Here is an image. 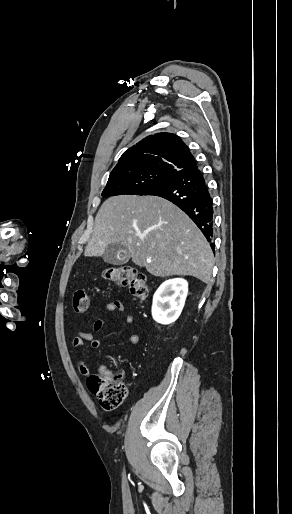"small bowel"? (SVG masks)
Masks as SVG:
<instances>
[{
	"label": "small bowel",
	"mask_w": 292,
	"mask_h": 514,
	"mask_svg": "<svg viewBox=\"0 0 292 514\" xmlns=\"http://www.w3.org/2000/svg\"><path fill=\"white\" fill-rule=\"evenodd\" d=\"M124 309H125L124 305L120 300H113V301H110V302L104 304L100 308L99 312L101 314L102 313L121 314L124 312ZM133 322H134V318L132 315L128 314L124 317V323L126 325H132ZM104 324H105L104 318L97 317L93 321L90 331H87V332L79 331V332H77L75 337L72 339L73 348L77 349L79 352V356L76 361L77 371L83 377L88 378L89 376L92 375V372H91L90 368L88 367V365L85 361V358L83 356L85 342L89 341L93 348H98L100 342H99L98 338L96 337V333L101 331V329L104 327ZM127 340L131 345H138L140 343V337L136 334L128 335ZM97 369L99 371H103L105 369V366L103 364H99L97 366Z\"/></svg>",
	"instance_id": "1"
}]
</instances>
